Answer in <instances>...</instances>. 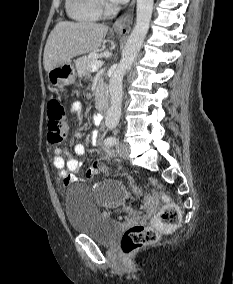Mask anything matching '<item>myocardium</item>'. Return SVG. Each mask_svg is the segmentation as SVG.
I'll return each mask as SVG.
<instances>
[{
	"label": "myocardium",
	"instance_id": "f54148a6",
	"mask_svg": "<svg viewBox=\"0 0 233 284\" xmlns=\"http://www.w3.org/2000/svg\"><path fill=\"white\" fill-rule=\"evenodd\" d=\"M102 11L105 13H111L114 11V6L109 0H99Z\"/></svg>",
	"mask_w": 233,
	"mask_h": 284
}]
</instances>
